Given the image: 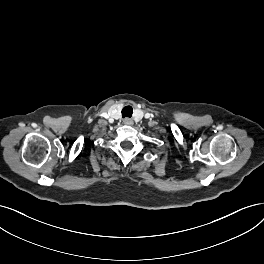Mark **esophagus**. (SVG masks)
Returning a JSON list of instances; mask_svg holds the SVG:
<instances>
[{
    "mask_svg": "<svg viewBox=\"0 0 264 264\" xmlns=\"http://www.w3.org/2000/svg\"><path fill=\"white\" fill-rule=\"evenodd\" d=\"M124 124L125 125H132L133 124V121L130 118H125L124 119Z\"/></svg>",
    "mask_w": 264,
    "mask_h": 264,
    "instance_id": "1",
    "label": "esophagus"
}]
</instances>
